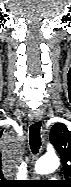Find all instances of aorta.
Listing matches in <instances>:
<instances>
[{
  "mask_svg": "<svg viewBox=\"0 0 71 187\" xmlns=\"http://www.w3.org/2000/svg\"><path fill=\"white\" fill-rule=\"evenodd\" d=\"M59 164L60 161L56 155H45L36 162L35 172L37 174H48L55 171Z\"/></svg>",
  "mask_w": 71,
  "mask_h": 187,
  "instance_id": "obj_1",
  "label": "aorta"
}]
</instances>
